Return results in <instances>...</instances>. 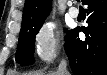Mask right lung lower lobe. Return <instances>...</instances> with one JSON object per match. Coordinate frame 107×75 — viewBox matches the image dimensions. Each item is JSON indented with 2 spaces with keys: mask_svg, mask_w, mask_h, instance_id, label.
I'll list each match as a JSON object with an SVG mask.
<instances>
[{
  "mask_svg": "<svg viewBox=\"0 0 107 75\" xmlns=\"http://www.w3.org/2000/svg\"><path fill=\"white\" fill-rule=\"evenodd\" d=\"M87 27L72 30L64 47L74 75H107V1L84 0ZM82 31L85 41L78 37Z\"/></svg>",
  "mask_w": 107,
  "mask_h": 75,
  "instance_id": "1",
  "label": "right lung lower lobe"
}]
</instances>
